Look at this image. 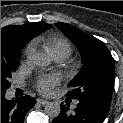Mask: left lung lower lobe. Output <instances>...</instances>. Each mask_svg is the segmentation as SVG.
<instances>
[{
  "label": "left lung lower lobe",
  "instance_id": "left-lung-lower-lobe-1",
  "mask_svg": "<svg viewBox=\"0 0 123 123\" xmlns=\"http://www.w3.org/2000/svg\"><path fill=\"white\" fill-rule=\"evenodd\" d=\"M69 106L61 104L60 114L53 123H103L109 107L85 100H79L77 108L69 113Z\"/></svg>",
  "mask_w": 123,
  "mask_h": 123
}]
</instances>
